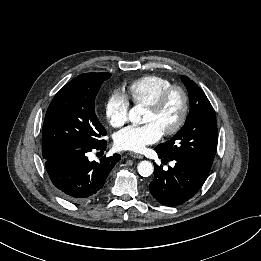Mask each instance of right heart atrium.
Segmentation results:
<instances>
[{"label":"right heart atrium","mask_w":261,"mask_h":261,"mask_svg":"<svg viewBox=\"0 0 261 261\" xmlns=\"http://www.w3.org/2000/svg\"><path fill=\"white\" fill-rule=\"evenodd\" d=\"M129 102L124 95L113 92L105 103V116L108 123L116 128L122 127L128 121Z\"/></svg>","instance_id":"d8ad5b80"}]
</instances>
